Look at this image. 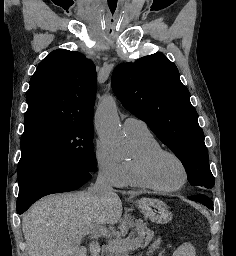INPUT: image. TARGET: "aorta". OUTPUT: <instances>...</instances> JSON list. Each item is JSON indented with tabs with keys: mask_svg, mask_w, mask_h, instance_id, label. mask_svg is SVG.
Here are the masks:
<instances>
[{
	"mask_svg": "<svg viewBox=\"0 0 236 256\" xmlns=\"http://www.w3.org/2000/svg\"><path fill=\"white\" fill-rule=\"evenodd\" d=\"M95 127L99 138L110 147L125 144V134L121 129L114 97H106L99 104L95 115Z\"/></svg>",
	"mask_w": 236,
	"mask_h": 256,
	"instance_id": "1",
	"label": "aorta"
}]
</instances>
